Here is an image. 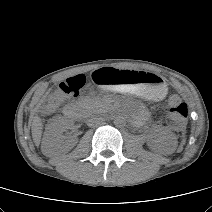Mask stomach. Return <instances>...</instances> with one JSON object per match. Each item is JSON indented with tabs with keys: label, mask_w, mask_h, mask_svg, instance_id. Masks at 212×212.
<instances>
[{
	"label": "stomach",
	"mask_w": 212,
	"mask_h": 212,
	"mask_svg": "<svg viewBox=\"0 0 212 212\" xmlns=\"http://www.w3.org/2000/svg\"><path fill=\"white\" fill-rule=\"evenodd\" d=\"M92 83L111 86L124 93L135 94L152 100L162 99L167 91L165 80L151 73L119 70L112 66H100L89 74Z\"/></svg>",
	"instance_id": "obj_1"
}]
</instances>
